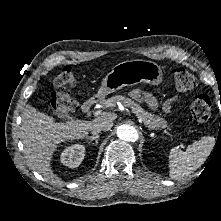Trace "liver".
I'll list each match as a JSON object with an SVG mask.
<instances>
[{
    "mask_svg": "<svg viewBox=\"0 0 221 221\" xmlns=\"http://www.w3.org/2000/svg\"><path fill=\"white\" fill-rule=\"evenodd\" d=\"M116 117L115 113H102L93 121L72 120L57 123L53 117L26 105L22 113L20 130L30 167L46 179L58 182L59 178L53 174L50 164L57 145L84 138L96 124L103 123L105 130H110Z\"/></svg>",
    "mask_w": 221,
    "mask_h": 221,
    "instance_id": "liver-1",
    "label": "liver"
}]
</instances>
